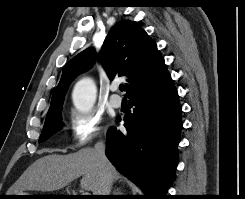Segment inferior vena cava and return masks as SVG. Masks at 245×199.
Returning a JSON list of instances; mask_svg holds the SVG:
<instances>
[{"label": "inferior vena cava", "mask_w": 245, "mask_h": 199, "mask_svg": "<svg viewBox=\"0 0 245 199\" xmlns=\"http://www.w3.org/2000/svg\"><path fill=\"white\" fill-rule=\"evenodd\" d=\"M94 150L97 154L102 169L101 189L97 195H110L112 176L109 171V161L105 154V143L103 141L97 142L94 146Z\"/></svg>", "instance_id": "602c4592"}]
</instances>
